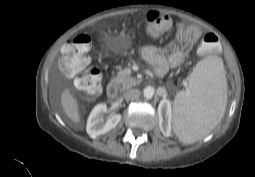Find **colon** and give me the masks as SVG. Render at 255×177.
<instances>
[{
  "label": "colon",
  "mask_w": 255,
  "mask_h": 177,
  "mask_svg": "<svg viewBox=\"0 0 255 177\" xmlns=\"http://www.w3.org/2000/svg\"><path fill=\"white\" fill-rule=\"evenodd\" d=\"M146 30L153 38L160 37L172 27V18L159 11L150 10L145 15ZM218 38L214 34H207L203 38L200 50L210 52L217 46ZM91 38L81 34L67 41L62 47V56L59 66L62 72L74 78L75 86L93 97L101 90V73L99 69L90 65L88 55Z\"/></svg>",
  "instance_id": "obj_1"
}]
</instances>
